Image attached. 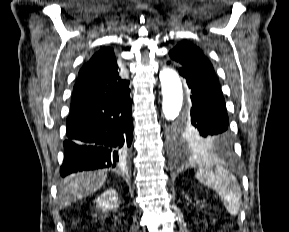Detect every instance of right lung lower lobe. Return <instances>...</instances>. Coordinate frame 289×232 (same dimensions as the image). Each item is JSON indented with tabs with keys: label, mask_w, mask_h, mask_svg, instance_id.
Returning a JSON list of instances; mask_svg holds the SVG:
<instances>
[{
	"label": "right lung lower lobe",
	"mask_w": 289,
	"mask_h": 232,
	"mask_svg": "<svg viewBox=\"0 0 289 232\" xmlns=\"http://www.w3.org/2000/svg\"><path fill=\"white\" fill-rule=\"evenodd\" d=\"M130 90L119 97L71 108L60 174L118 168L133 138Z\"/></svg>",
	"instance_id": "right-lung-lower-lobe-1"
}]
</instances>
